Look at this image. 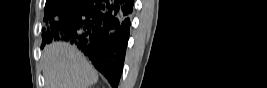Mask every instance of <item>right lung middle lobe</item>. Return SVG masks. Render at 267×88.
<instances>
[{
	"instance_id": "right-lung-middle-lobe-1",
	"label": "right lung middle lobe",
	"mask_w": 267,
	"mask_h": 88,
	"mask_svg": "<svg viewBox=\"0 0 267 88\" xmlns=\"http://www.w3.org/2000/svg\"><path fill=\"white\" fill-rule=\"evenodd\" d=\"M75 0H47L45 5L44 21H51L55 19L59 13L72 5ZM45 30V29H44ZM49 34L45 30L42 34L43 43L47 40Z\"/></svg>"
}]
</instances>
